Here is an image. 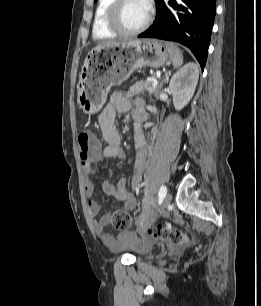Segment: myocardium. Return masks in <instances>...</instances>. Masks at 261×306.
Returning a JSON list of instances; mask_svg holds the SVG:
<instances>
[{"mask_svg":"<svg viewBox=\"0 0 261 306\" xmlns=\"http://www.w3.org/2000/svg\"><path fill=\"white\" fill-rule=\"evenodd\" d=\"M127 0H113L106 13V23L108 27L121 36H135L145 31L150 25L153 17V6L145 0L147 4V16L145 21L136 29H127L121 22L120 14L124 3Z\"/></svg>","mask_w":261,"mask_h":306,"instance_id":"f54148a6","label":"myocardium"}]
</instances>
